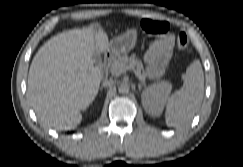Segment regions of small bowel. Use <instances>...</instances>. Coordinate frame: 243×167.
Returning <instances> with one entry per match:
<instances>
[{"instance_id": "1", "label": "small bowel", "mask_w": 243, "mask_h": 167, "mask_svg": "<svg viewBox=\"0 0 243 167\" xmlns=\"http://www.w3.org/2000/svg\"><path fill=\"white\" fill-rule=\"evenodd\" d=\"M173 45L174 36L171 34L164 35L150 45L144 61L147 65V72L151 77L162 75L169 62Z\"/></svg>"}]
</instances>
